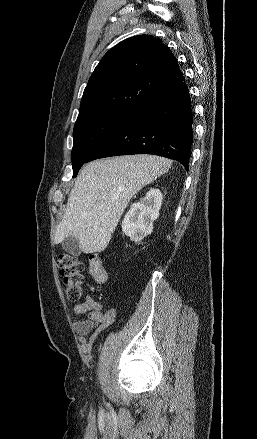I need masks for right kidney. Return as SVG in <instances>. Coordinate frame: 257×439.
Masks as SVG:
<instances>
[{
    "label": "right kidney",
    "instance_id": "obj_1",
    "mask_svg": "<svg viewBox=\"0 0 257 439\" xmlns=\"http://www.w3.org/2000/svg\"><path fill=\"white\" fill-rule=\"evenodd\" d=\"M162 194L151 188L144 198L131 205L122 221V231L134 242H140L153 231V222L159 216Z\"/></svg>",
    "mask_w": 257,
    "mask_h": 439
}]
</instances>
